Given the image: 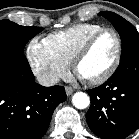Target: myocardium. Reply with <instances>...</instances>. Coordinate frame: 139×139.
I'll return each instance as SVG.
<instances>
[{"mask_svg": "<svg viewBox=\"0 0 139 139\" xmlns=\"http://www.w3.org/2000/svg\"><path fill=\"white\" fill-rule=\"evenodd\" d=\"M105 33H111L114 36L116 41V52L111 65L101 76L93 79H85L89 84L92 85H99L106 82L113 76V74L116 72L117 68L119 67L122 58V51H123L122 40L119 33L113 28H109V27L101 28L100 30L96 31L86 39V41L80 46V48L77 50V52L75 53L72 59V67L75 73L79 75L78 65L80 61L90 51V49L92 48L96 40Z\"/></svg>", "mask_w": 139, "mask_h": 139, "instance_id": "obj_1", "label": "myocardium"}]
</instances>
